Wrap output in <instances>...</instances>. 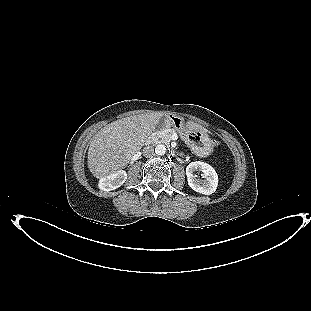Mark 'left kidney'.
Listing matches in <instances>:
<instances>
[{
    "instance_id": "1",
    "label": "left kidney",
    "mask_w": 311,
    "mask_h": 311,
    "mask_svg": "<svg viewBox=\"0 0 311 311\" xmlns=\"http://www.w3.org/2000/svg\"><path fill=\"white\" fill-rule=\"evenodd\" d=\"M198 170L202 172L204 180L198 179L194 175V172ZM186 175L188 185L190 186L191 189H193L198 193L204 195H211L217 189L218 175L215 169L205 162L201 161L191 162L186 167Z\"/></svg>"
}]
</instances>
